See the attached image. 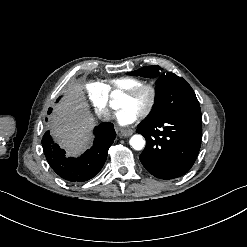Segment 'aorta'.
I'll use <instances>...</instances> for the list:
<instances>
[{"instance_id": "aorta-1", "label": "aorta", "mask_w": 247, "mask_h": 247, "mask_svg": "<svg viewBox=\"0 0 247 247\" xmlns=\"http://www.w3.org/2000/svg\"><path fill=\"white\" fill-rule=\"evenodd\" d=\"M129 142L132 148L137 151L142 150L146 143L143 136L139 134L133 135Z\"/></svg>"}]
</instances>
